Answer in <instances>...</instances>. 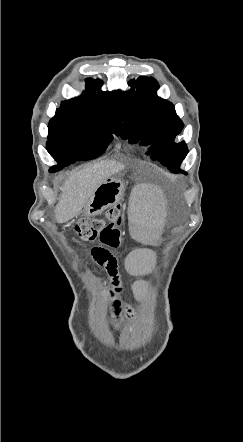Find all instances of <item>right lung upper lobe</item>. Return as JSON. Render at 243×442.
<instances>
[{"instance_id":"1","label":"right lung upper lobe","mask_w":243,"mask_h":442,"mask_svg":"<svg viewBox=\"0 0 243 442\" xmlns=\"http://www.w3.org/2000/svg\"><path fill=\"white\" fill-rule=\"evenodd\" d=\"M102 85L101 80H86L83 95L63 101L60 108L80 117L96 119L121 127L122 93L121 91L95 93V88Z\"/></svg>"}]
</instances>
